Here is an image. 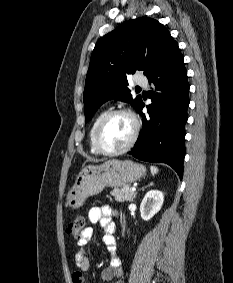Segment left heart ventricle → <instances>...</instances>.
I'll return each instance as SVG.
<instances>
[{"instance_id":"b2bd125f","label":"left heart ventricle","mask_w":233,"mask_h":283,"mask_svg":"<svg viewBox=\"0 0 233 283\" xmlns=\"http://www.w3.org/2000/svg\"><path fill=\"white\" fill-rule=\"evenodd\" d=\"M134 130L133 121L125 114L113 116L104 126L100 142L104 149L114 151L125 146Z\"/></svg>"}]
</instances>
